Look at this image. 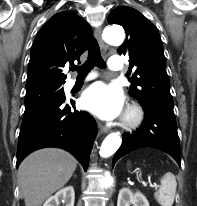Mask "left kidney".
I'll return each instance as SVG.
<instances>
[{
    "mask_svg": "<svg viewBox=\"0 0 197 206\" xmlns=\"http://www.w3.org/2000/svg\"><path fill=\"white\" fill-rule=\"evenodd\" d=\"M131 203L134 206H149L148 200L142 193H133L128 188H122L118 194L117 206H130Z\"/></svg>",
    "mask_w": 197,
    "mask_h": 206,
    "instance_id": "left-kidney-1",
    "label": "left kidney"
}]
</instances>
